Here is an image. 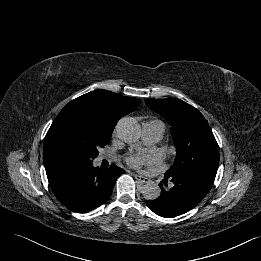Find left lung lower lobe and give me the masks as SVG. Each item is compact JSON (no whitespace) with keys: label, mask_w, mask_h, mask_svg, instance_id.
Listing matches in <instances>:
<instances>
[{"label":"left lung lower lobe","mask_w":261,"mask_h":261,"mask_svg":"<svg viewBox=\"0 0 261 261\" xmlns=\"http://www.w3.org/2000/svg\"><path fill=\"white\" fill-rule=\"evenodd\" d=\"M168 179L174 186L166 190L160 182L159 198L146 201V205L154 213L166 218H174L197 206L208 194L215 180L214 177L199 172H183L165 176L163 183L166 187Z\"/></svg>","instance_id":"obj_1"}]
</instances>
